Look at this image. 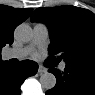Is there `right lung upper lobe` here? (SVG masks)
<instances>
[{"label":"right lung upper lobe","instance_id":"1","mask_svg":"<svg viewBox=\"0 0 95 95\" xmlns=\"http://www.w3.org/2000/svg\"><path fill=\"white\" fill-rule=\"evenodd\" d=\"M32 9H19L6 5H0V53L6 44L14 41L13 32L15 27L25 21L31 14ZM5 61L1 60L0 63Z\"/></svg>","mask_w":95,"mask_h":95}]
</instances>
